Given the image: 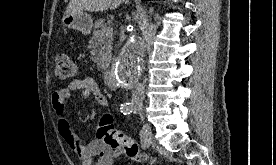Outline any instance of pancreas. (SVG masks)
I'll return each mask as SVG.
<instances>
[{
    "label": "pancreas",
    "instance_id": "cf45deb5",
    "mask_svg": "<svg viewBox=\"0 0 276 165\" xmlns=\"http://www.w3.org/2000/svg\"><path fill=\"white\" fill-rule=\"evenodd\" d=\"M91 45V54L99 71L106 70L112 57V37H106L101 34V30H94L89 41Z\"/></svg>",
    "mask_w": 276,
    "mask_h": 165
}]
</instances>
